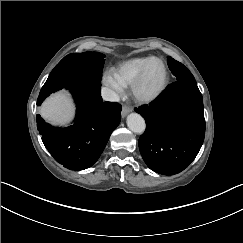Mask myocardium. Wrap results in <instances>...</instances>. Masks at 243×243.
I'll return each instance as SVG.
<instances>
[{
    "label": "myocardium",
    "mask_w": 243,
    "mask_h": 243,
    "mask_svg": "<svg viewBox=\"0 0 243 243\" xmlns=\"http://www.w3.org/2000/svg\"><path fill=\"white\" fill-rule=\"evenodd\" d=\"M159 62L165 71V78L162 85L154 92L150 94L142 93V88L148 78L151 66L153 63ZM171 80L170 70L167 64L161 59H155L147 64L142 70L140 76L136 79L131 87V95L134 101L138 104H151L158 100L168 89Z\"/></svg>",
    "instance_id": "myocardium-1"
}]
</instances>
